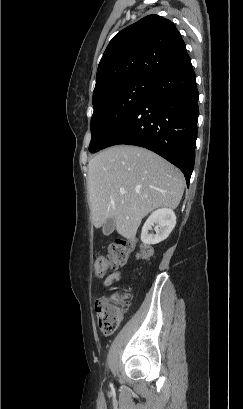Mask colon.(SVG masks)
Here are the masks:
<instances>
[{"instance_id":"colon-1","label":"colon","mask_w":243,"mask_h":409,"mask_svg":"<svg viewBox=\"0 0 243 409\" xmlns=\"http://www.w3.org/2000/svg\"><path fill=\"white\" fill-rule=\"evenodd\" d=\"M133 242L117 239L108 247V254L98 257L94 262L95 275L103 278L109 271L127 262L132 251ZM153 255L150 245H142L138 251V257L149 260ZM130 294H124L119 298L102 297L96 301V311L100 329L105 334L114 333L122 322L126 308L130 304Z\"/></svg>"}]
</instances>
